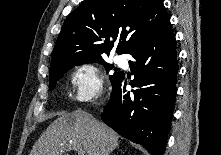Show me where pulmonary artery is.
Returning a JSON list of instances; mask_svg holds the SVG:
<instances>
[{"mask_svg":"<svg viewBox=\"0 0 221 155\" xmlns=\"http://www.w3.org/2000/svg\"><path fill=\"white\" fill-rule=\"evenodd\" d=\"M115 61L119 66H125L127 64V61L123 56H117Z\"/></svg>","mask_w":221,"mask_h":155,"instance_id":"e3ab8cb5","label":"pulmonary artery"}]
</instances>
